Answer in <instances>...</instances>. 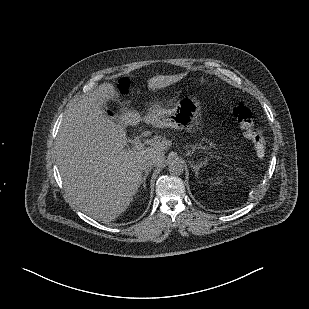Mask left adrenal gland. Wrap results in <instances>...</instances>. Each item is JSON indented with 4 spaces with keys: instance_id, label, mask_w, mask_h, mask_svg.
Listing matches in <instances>:
<instances>
[{
    "instance_id": "obj_1",
    "label": "left adrenal gland",
    "mask_w": 309,
    "mask_h": 309,
    "mask_svg": "<svg viewBox=\"0 0 309 309\" xmlns=\"http://www.w3.org/2000/svg\"><path fill=\"white\" fill-rule=\"evenodd\" d=\"M192 167H193V169H194V171H195V175L198 177V174H199V169L201 168V165H193L192 164Z\"/></svg>"
}]
</instances>
